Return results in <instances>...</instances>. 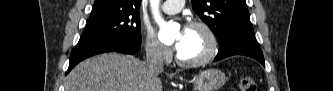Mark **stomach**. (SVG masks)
Masks as SVG:
<instances>
[{
    "instance_id": "0dacf381",
    "label": "stomach",
    "mask_w": 333,
    "mask_h": 91,
    "mask_svg": "<svg viewBox=\"0 0 333 91\" xmlns=\"http://www.w3.org/2000/svg\"><path fill=\"white\" fill-rule=\"evenodd\" d=\"M225 82L226 76L222 71L208 69L194 78L195 91H217Z\"/></svg>"
}]
</instances>
